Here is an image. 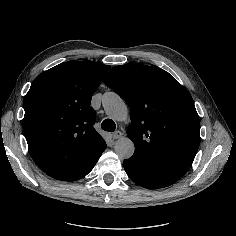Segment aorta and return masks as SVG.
<instances>
[{
	"label": "aorta",
	"instance_id": "762f6f07",
	"mask_svg": "<svg viewBox=\"0 0 236 236\" xmlns=\"http://www.w3.org/2000/svg\"><path fill=\"white\" fill-rule=\"evenodd\" d=\"M102 104L106 114L116 121H123L128 115V108L123 99L114 92L103 95ZM135 150L133 141L127 137L120 138L115 145V152L121 159L130 158Z\"/></svg>",
	"mask_w": 236,
	"mask_h": 236
}]
</instances>
